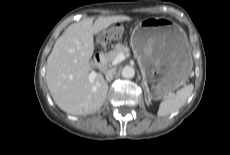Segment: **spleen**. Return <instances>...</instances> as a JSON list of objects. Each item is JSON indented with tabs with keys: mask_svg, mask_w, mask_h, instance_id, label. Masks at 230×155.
<instances>
[{
	"mask_svg": "<svg viewBox=\"0 0 230 155\" xmlns=\"http://www.w3.org/2000/svg\"><path fill=\"white\" fill-rule=\"evenodd\" d=\"M194 86L187 85L179 89L174 96H168L159 105L158 116H167L179 110L188 100L193 92Z\"/></svg>",
	"mask_w": 230,
	"mask_h": 155,
	"instance_id": "spleen-1",
	"label": "spleen"
}]
</instances>
